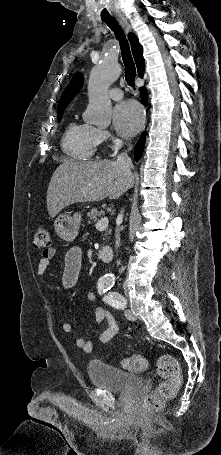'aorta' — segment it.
<instances>
[{
    "mask_svg": "<svg viewBox=\"0 0 221 455\" xmlns=\"http://www.w3.org/2000/svg\"><path fill=\"white\" fill-rule=\"evenodd\" d=\"M119 76V65L109 59H104L92 70L88 83L89 103L85 116L88 123L100 127H107L110 124L112 104L108 97V88ZM103 280L106 283H112L114 275L106 274Z\"/></svg>",
    "mask_w": 221,
    "mask_h": 455,
    "instance_id": "obj_1",
    "label": "aorta"
}]
</instances>
